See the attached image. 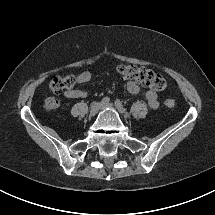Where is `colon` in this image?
Masks as SVG:
<instances>
[{"label": "colon", "mask_w": 215, "mask_h": 215, "mask_svg": "<svg viewBox=\"0 0 215 215\" xmlns=\"http://www.w3.org/2000/svg\"><path fill=\"white\" fill-rule=\"evenodd\" d=\"M116 70L122 77L135 80L153 90L162 91L167 88L166 80L150 69L133 64H121ZM76 83L77 78L74 75L57 76L50 81L49 88L53 93H60L65 89H73ZM164 105L172 109L176 106V102L173 98L167 97ZM44 107L47 110H55L59 107V100L54 96H49L44 100Z\"/></svg>", "instance_id": "1"}]
</instances>
